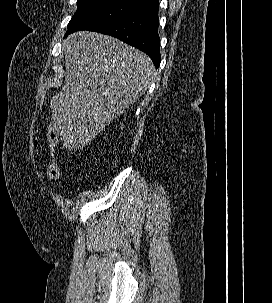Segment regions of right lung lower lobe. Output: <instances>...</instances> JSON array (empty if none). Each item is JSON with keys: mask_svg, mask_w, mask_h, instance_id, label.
Returning <instances> with one entry per match:
<instances>
[{"mask_svg": "<svg viewBox=\"0 0 272 303\" xmlns=\"http://www.w3.org/2000/svg\"><path fill=\"white\" fill-rule=\"evenodd\" d=\"M159 3L132 14L98 24L89 31L118 38L150 56L156 68L160 65L158 36Z\"/></svg>", "mask_w": 272, "mask_h": 303, "instance_id": "1", "label": "right lung lower lobe"}]
</instances>
